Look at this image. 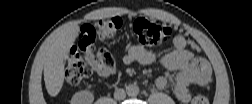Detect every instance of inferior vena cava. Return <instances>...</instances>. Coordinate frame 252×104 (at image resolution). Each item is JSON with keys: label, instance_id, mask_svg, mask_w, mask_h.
<instances>
[{"label": "inferior vena cava", "instance_id": "602c4592", "mask_svg": "<svg viewBox=\"0 0 252 104\" xmlns=\"http://www.w3.org/2000/svg\"><path fill=\"white\" fill-rule=\"evenodd\" d=\"M114 98L119 101L124 100L126 98L125 90L121 88L116 89L114 92Z\"/></svg>", "mask_w": 252, "mask_h": 104}]
</instances>
